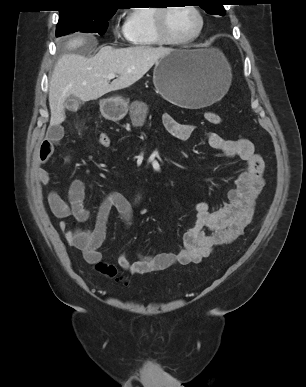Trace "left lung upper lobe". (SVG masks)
Returning a JSON list of instances; mask_svg holds the SVG:
<instances>
[{
	"instance_id": "1",
	"label": "left lung upper lobe",
	"mask_w": 306,
	"mask_h": 387,
	"mask_svg": "<svg viewBox=\"0 0 306 387\" xmlns=\"http://www.w3.org/2000/svg\"><path fill=\"white\" fill-rule=\"evenodd\" d=\"M224 0H197L198 5L211 15L224 16L225 9L223 7Z\"/></svg>"
}]
</instances>
